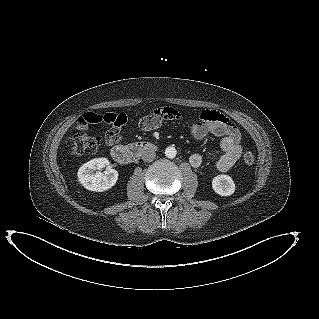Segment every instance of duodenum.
Masks as SVG:
<instances>
[{"instance_id": "410a0bca", "label": "duodenum", "mask_w": 319, "mask_h": 319, "mask_svg": "<svg viewBox=\"0 0 319 319\" xmlns=\"http://www.w3.org/2000/svg\"><path fill=\"white\" fill-rule=\"evenodd\" d=\"M154 149V145L150 142L139 141L129 145H116L111 150L114 161L121 165H128L140 158V156Z\"/></svg>"}]
</instances>
